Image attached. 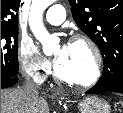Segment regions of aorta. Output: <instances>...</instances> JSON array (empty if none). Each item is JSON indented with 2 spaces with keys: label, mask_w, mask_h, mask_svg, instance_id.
<instances>
[{
  "label": "aorta",
  "mask_w": 123,
  "mask_h": 113,
  "mask_svg": "<svg viewBox=\"0 0 123 113\" xmlns=\"http://www.w3.org/2000/svg\"><path fill=\"white\" fill-rule=\"evenodd\" d=\"M54 0H32L29 14V26L36 37L42 44L43 52L46 55L54 51L55 44L58 42L56 35H51L43 25L42 16L44 10L50 6Z\"/></svg>",
  "instance_id": "1"
}]
</instances>
